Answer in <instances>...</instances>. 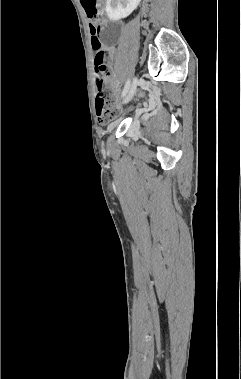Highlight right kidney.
I'll return each mask as SVG.
<instances>
[{"label": "right kidney", "instance_id": "ca27d5eb", "mask_svg": "<svg viewBox=\"0 0 241 379\" xmlns=\"http://www.w3.org/2000/svg\"><path fill=\"white\" fill-rule=\"evenodd\" d=\"M141 0H107L106 13L110 20L118 21L129 16Z\"/></svg>", "mask_w": 241, "mask_h": 379}]
</instances>
